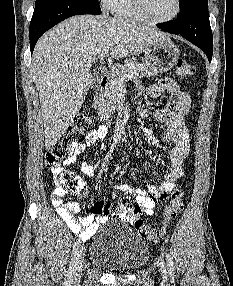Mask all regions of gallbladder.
Returning a JSON list of instances; mask_svg holds the SVG:
<instances>
[{"label": "gallbladder", "instance_id": "1", "mask_svg": "<svg viewBox=\"0 0 233 286\" xmlns=\"http://www.w3.org/2000/svg\"><path fill=\"white\" fill-rule=\"evenodd\" d=\"M100 79H101L100 75H98V74H96V73H93V74H92V80H91L90 86H91L92 88L97 87V86L99 85V83H100Z\"/></svg>", "mask_w": 233, "mask_h": 286}]
</instances>
